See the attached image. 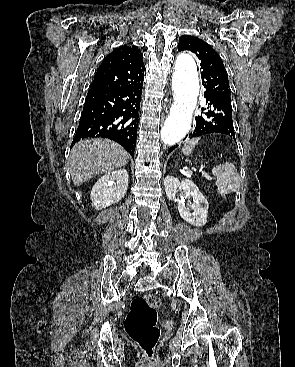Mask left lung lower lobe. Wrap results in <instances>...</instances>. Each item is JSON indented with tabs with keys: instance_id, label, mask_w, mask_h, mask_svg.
Returning a JSON list of instances; mask_svg holds the SVG:
<instances>
[{
	"instance_id": "obj_1",
	"label": "left lung lower lobe",
	"mask_w": 295,
	"mask_h": 367,
	"mask_svg": "<svg viewBox=\"0 0 295 367\" xmlns=\"http://www.w3.org/2000/svg\"><path fill=\"white\" fill-rule=\"evenodd\" d=\"M206 104L208 108L204 116L196 117V125L194 131L189 138H195L210 133H221L235 139V132L232 120L231 98L217 95L214 93H205ZM177 145L170 147L168 154L173 151Z\"/></svg>"
}]
</instances>
